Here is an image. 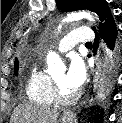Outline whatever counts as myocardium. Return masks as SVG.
<instances>
[{
  "mask_svg": "<svg viewBox=\"0 0 122 123\" xmlns=\"http://www.w3.org/2000/svg\"><path fill=\"white\" fill-rule=\"evenodd\" d=\"M52 95L56 102L61 104H69L75 102L79 97V92L75 91L72 94H65L57 82L51 78Z\"/></svg>",
  "mask_w": 122,
  "mask_h": 123,
  "instance_id": "f54148a6",
  "label": "myocardium"
}]
</instances>
